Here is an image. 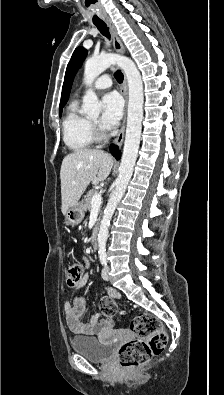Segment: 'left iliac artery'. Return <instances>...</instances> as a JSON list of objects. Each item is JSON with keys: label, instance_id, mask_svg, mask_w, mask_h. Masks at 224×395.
<instances>
[{"label": "left iliac artery", "instance_id": "1", "mask_svg": "<svg viewBox=\"0 0 224 395\" xmlns=\"http://www.w3.org/2000/svg\"><path fill=\"white\" fill-rule=\"evenodd\" d=\"M99 253V259L102 265H106L107 264V254L105 250H100L98 251Z\"/></svg>", "mask_w": 224, "mask_h": 395}]
</instances>
